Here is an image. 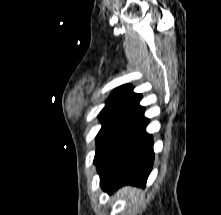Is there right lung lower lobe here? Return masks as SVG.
I'll return each instance as SVG.
<instances>
[{
  "label": "right lung lower lobe",
  "instance_id": "obj_1",
  "mask_svg": "<svg viewBox=\"0 0 221 215\" xmlns=\"http://www.w3.org/2000/svg\"><path fill=\"white\" fill-rule=\"evenodd\" d=\"M144 109L112 137L95 163L100 185L109 194L123 185L144 187L151 172L154 151L152 136L145 131Z\"/></svg>",
  "mask_w": 221,
  "mask_h": 215
}]
</instances>
